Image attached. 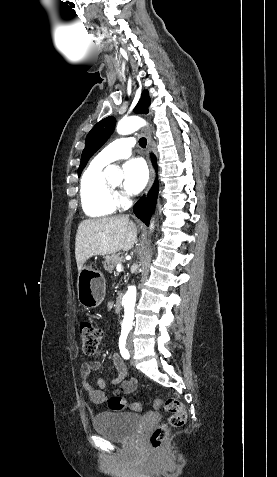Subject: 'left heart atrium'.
<instances>
[{
  "label": "left heart atrium",
  "mask_w": 277,
  "mask_h": 477,
  "mask_svg": "<svg viewBox=\"0 0 277 477\" xmlns=\"http://www.w3.org/2000/svg\"><path fill=\"white\" fill-rule=\"evenodd\" d=\"M124 189L130 194H137L144 189L148 182L149 173L146 164L141 159H132L123 166Z\"/></svg>",
  "instance_id": "1"
}]
</instances>
